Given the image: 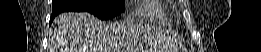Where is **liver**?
<instances>
[{
  "label": "liver",
  "instance_id": "liver-1",
  "mask_svg": "<svg viewBox=\"0 0 261 52\" xmlns=\"http://www.w3.org/2000/svg\"><path fill=\"white\" fill-rule=\"evenodd\" d=\"M126 35L125 24L108 25L86 12L62 13L53 21L50 52H124Z\"/></svg>",
  "mask_w": 261,
  "mask_h": 52
}]
</instances>
